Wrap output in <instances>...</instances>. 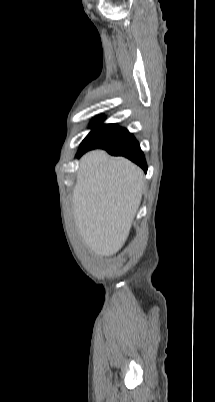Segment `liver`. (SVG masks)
<instances>
[{
  "instance_id": "1",
  "label": "liver",
  "mask_w": 215,
  "mask_h": 402,
  "mask_svg": "<svg viewBox=\"0 0 215 402\" xmlns=\"http://www.w3.org/2000/svg\"><path fill=\"white\" fill-rule=\"evenodd\" d=\"M143 171L123 157L93 150L80 160L73 188L75 225L96 255L116 254L126 242L141 203Z\"/></svg>"
}]
</instances>
